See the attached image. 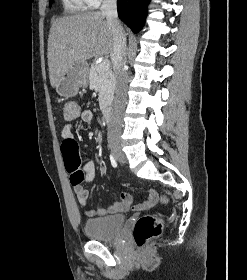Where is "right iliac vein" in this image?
<instances>
[{"instance_id":"right-iliac-vein-1","label":"right iliac vein","mask_w":247,"mask_h":280,"mask_svg":"<svg viewBox=\"0 0 247 280\" xmlns=\"http://www.w3.org/2000/svg\"><path fill=\"white\" fill-rule=\"evenodd\" d=\"M111 149H112V152L114 153V155L116 156V158L124 160V155L120 151V147L118 145H113L111 147Z\"/></svg>"}]
</instances>
